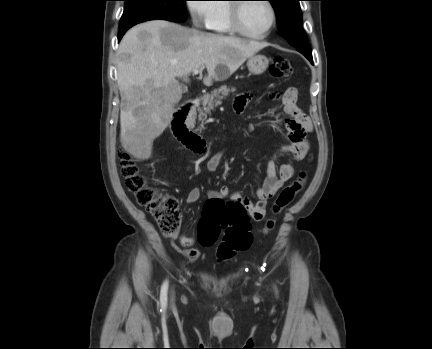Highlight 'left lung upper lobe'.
Returning a JSON list of instances; mask_svg holds the SVG:
<instances>
[{
    "mask_svg": "<svg viewBox=\"0 0 432 349\" xmlns=\"http://www.w3.org/2000/svg\"><path fill=\"white\" fill-rule=\"evenodd\" d=\"M268 1H270L276 12L279 33L294 47L310 50L306 34L301 26L300 0Z\"/></svg>",
    "mask_w": 432,
    "mask_h": 349,
    "instance_id": "left-lung-upper-lobe-1",
    "label": "left lung upper lobe"
}]
</instances>
